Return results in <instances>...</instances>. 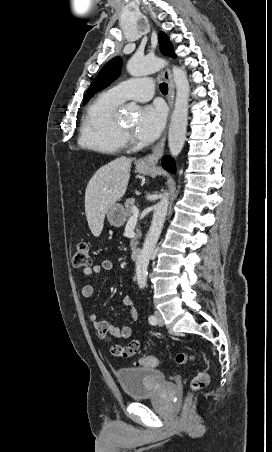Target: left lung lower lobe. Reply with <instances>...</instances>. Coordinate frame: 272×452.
Masks as SVG:
<instances>
[{"instance_id": "left-lung-lower-lobe-1", "label": "left lung lower lobe", "mask_w": 272, "mask_h": 452, "mask_svg": "<svg viewBox=\"0 0 272 452\" xmlns=\"http://www.w3.org/2000/svg\"><path fill=\"white\" fill-rule=\"evenodd\" d=\"M162 166L169 172H175V164L172 159L164 158L162 162Z\"/></svg>"}]
</instances>
